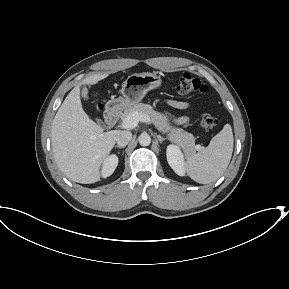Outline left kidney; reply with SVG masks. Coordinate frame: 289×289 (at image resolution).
<instances>
[{"label": "left kidney", "mask_w": 289, "mask_h": 289, "mask_svg": "<svg viewBox=\"0 0 289 289\" xmlns=\"http://www.w3.org/2000/svg\"><path fill=\"white\" fill-rule=\"evenodd\" d=\"M166 155L168 164L174 170V172L179 176H184V156L180 148L177 145L170 144L167 146Z\"/></svg>", "instance_id": "5707ae66"}]
</instances>
